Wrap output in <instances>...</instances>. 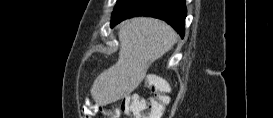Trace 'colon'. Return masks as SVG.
<instances>
[{"label": "colon", "instance_id": "1", "mask_svg": "<svg viewBox=\"0 0 273 118\" xmlns=\"http://www.w3.org/2000/svg\"><path fill=\"white\" fill-rule=\"evenodd\" d=\"M148 83L156 88L153 96L145 97L137 94L124 96L121 100L118 111L134 118H159L165 106L169 103L170 97L167 94L168 86L164 82H158L153 77L148 78ZM108 116L116 118L117 114L108 112ZM86 113L84 118H90Z\"/></svg>", "mask_w": 273, "mask_h": 118}]
</instances>
